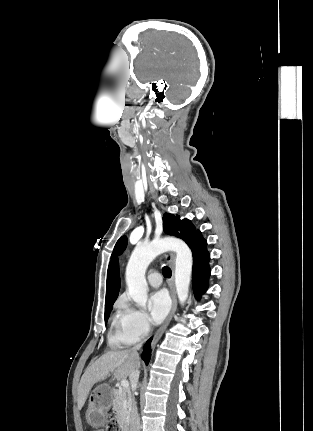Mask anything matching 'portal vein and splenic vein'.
Instances as JSON below:
<instances>
[{
  "label": "portal vein and splenic vein",
  "mask_w": 313,
  "mask_h": 431,
  "mask_svg": "<svg viewBox=\"0 0 313 431\" xmlns=\"http://www.w3.org/2000/svg\"><path fill=\"white\" fill-rule=\"evenodd\" d=\"M121 386L125 389L129 388V382L127 380H121Z\"/></svg>",
  "instance_id": "portal-vein-and-splenic-vein-1"
}]
</instances>
